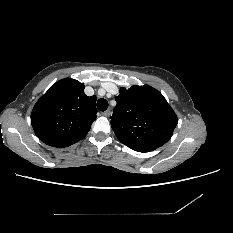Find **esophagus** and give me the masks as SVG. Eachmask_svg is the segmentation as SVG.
<instances>
[{
    "mask_svg": "<svg viewBox=\"0 0 233 233\" xmlns=\"http://www.w3.org/2000/svg\"><path fill=\"white\" fill-rule=\"evenodd\" d=\"M111 110L110 109H108V110H106V111H104L103 113H102V115H104V116H106V117H109L110 115H111Z\"/></svg>",
    "mask_w": 233,
    "mask_h": 233,
    "instance_id": "1",
    "label": "esophagus"
}]
</instances>
